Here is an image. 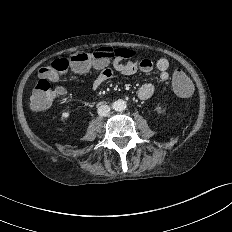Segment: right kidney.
Returning <instances> with one entry per match:
<instances>
[{
	"instance_id": "1",
	"label": "right kidney",
	"mask_w": 232,
	"mask_h": 232,
	"mask_svg": "<svg viewBox=\"0 0 232 232\" xmlns=\"http://www.w3.org/2000/svg\"><path fill=\"white\" fill-rule=\"evenodd\" d=\"M69 116H70L69 112H63L62 113V120L63 121L67 120L69 118Z\"/></svg>"
}]
</instances>
